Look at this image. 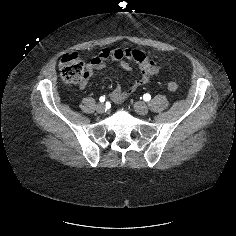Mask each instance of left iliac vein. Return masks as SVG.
<instances>
[{
  "mask_svg": "<svg viewBox=\"0 0 236 236\" xmlns=\"http://www.w3.org/2000/svg\"><path fill=\"white\" fill-rule=\"evenodd\" d=\"M134 109L140 115H146L149 111L147 105L142 102H136L134 104Z\"/></svg>",
  "mask_w": 236,
  "mask_h": 236,
  "instance_id": "left-iliac-vein-1",
  "label": "left iliac vein"
}]
</instances>
